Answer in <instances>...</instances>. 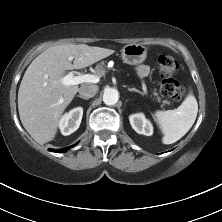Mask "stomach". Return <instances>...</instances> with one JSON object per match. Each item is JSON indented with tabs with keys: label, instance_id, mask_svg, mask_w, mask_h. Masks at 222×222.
<instances>
[{
	"label": "stomach",
	"instance_id": "stomach-1",
	"mask_svg": "<svg viewBox=\"0 0 222 222\" xmlns=\"http://www.w3.org/2000/svg\"><path fill=\"white\" fill-rule=\"evenodd\" d=\"M147 57V47L139 43L125 45L122 49L123 62L129 65H138Z\"/></svg>",
	"mask_w": 222,
	"mask_h": 222
}]
</instances>
